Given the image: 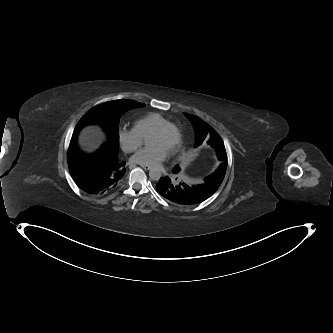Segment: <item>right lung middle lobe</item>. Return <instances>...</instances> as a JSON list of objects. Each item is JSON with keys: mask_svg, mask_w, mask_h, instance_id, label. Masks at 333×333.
I'll use <instances>...</instances> for the list:
<instances>
[{"mask_svg": "<svg viewBox=\"0 0 333 333\" xmlns=\"http://www.w3.org/2000/svg\"><path fill=\"white\" fill-rule=\"evenodd\" d=\"M144 104L129 99L114 100L102 103L88 111L79 121L73 135L88 123H98L106 128L110 136L108 147L113 151L118 148V125L120 117L129 109L143 107Z\"/></svg>", "mask_w": 333, "mask_h": 333, "instance_id": "obj_1", "label": "right lung middle lobe"}]
</instances>
